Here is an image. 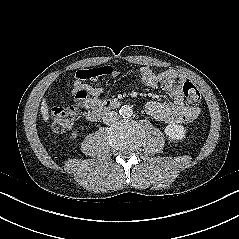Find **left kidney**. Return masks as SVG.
<instances>
[{
	"mask_svg": "<svg viewBox=\"0 0 239 239\" xmlns=\"http://www.w3.org/2000/svg\"><path fill=\"white\" fill-rule=\"evenodd\" d=\"M165 134L174 140H181L185 137L186 131L182 125L172 123L166 126Z\"/></svg>",
	"mask_w": 239,
	"mask_h": 239,
	"instance_id": "left-kidney-1",
	"label": "left kidney"
}]
</instances>
